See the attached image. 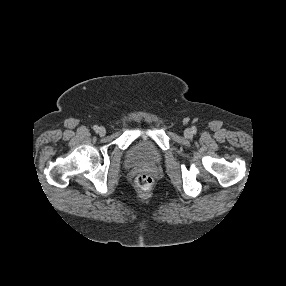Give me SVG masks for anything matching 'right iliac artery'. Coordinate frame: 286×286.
Here are the masks:
<instances>
[{
  "label": "right iliac artery",
  "mask_w": 286,
  "mask_h": 286,
  "mask_svg": "<svg viewBox=\"0 0 286 286\" xmlns=\"http://www.w3.org/2000/svg\"><path fill=\"white\" fill-rule=\"evenodd\" d=\"M98 128H99V127H98L97 125H94V126H93V129H94L95 131H97Z\"/></svg>",
  "instance_id": "right-iliac-artery-1"
}]
</instances>
